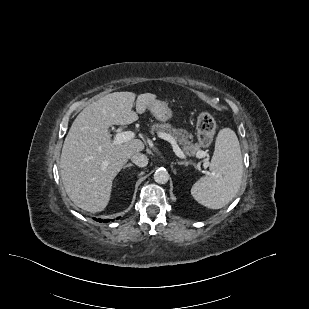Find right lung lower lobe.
<instances>
[{"instance_id":"obj_1","label":"right lung lower lobe","mask_w":309,"mask_h":309,"mask_svg":"<svg viewBox=\"0 0 309 309\" xmlns=\"http://www.w3.org/2000/svg\"><path fill=\"white\" fill-rule=\"evenodd\" d=\"M96 221L102 222L101 219H95ZM110 220H104V222H109Z\"/></svg>"}]
</instances>
